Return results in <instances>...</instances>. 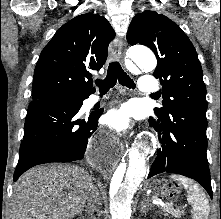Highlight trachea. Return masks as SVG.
<instances>
[{
	"mask_svg": "<svg viewBox=\"0 0 221 219\" xmlns=\"http://www.w3.org/2000/svg\"><path fill=\"white\" fill-rule=\"evenodd\" d=\"M117 80L122 86L128 88H135L133 80L124 72L118 62H111L109 64L106 78L103 80L97 79L95 84L99 87L101 92H107L110 88L114 87Z\"/></svg>",
	"mask_w": 221,
	"mask_h": 219,
	"instance_id": "obj_1",
	"label": "trachea"
}]
</instances>
